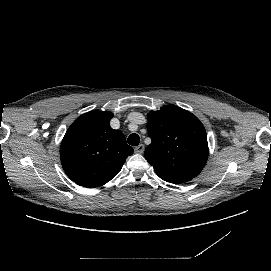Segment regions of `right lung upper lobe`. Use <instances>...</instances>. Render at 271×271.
Instances as JSON below:
<instances>
[{
	"label": "right lung upper lobe",
	"instance_id": "right-lung-upper-lobe-1",
	"mask_svg": "<svg viewBox=\"0 0 271 271\" xmlns=\"http://www.w3.org/2000/svg\"><path fill=\"white\" fill-rule=\"evenodd\" d=\"M113 113L90 111L78 117L67 130L60 147L64 171L83 187L106 184L121 170L134 150L124 134L110 127Z\"/></svg>",
	"mask_w": 271,
	"mask_h": 271
}]
</instances>
